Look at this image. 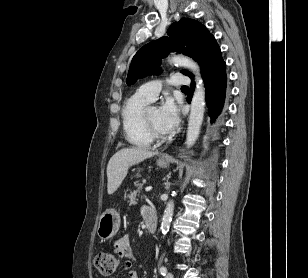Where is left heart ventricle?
<instances>
[{"mask_svg": "<svg viewBox=\"0 0 308 278\" xmlns=\"http://www.w3.org/2000/svg\"><path fill=\"white\" fill-rule=\"evenodd\" d=\"M148 118L151 124L154 126L155 129L161 132L158 124V109L157 108H150L148 110Z\"/></svg>", "mask_w": 308, "mask_h": 278, "instance_id": "1", "label": "left heart ventricle"}]
</instances>
